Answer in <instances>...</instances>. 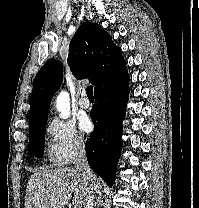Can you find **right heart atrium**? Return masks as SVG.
I'll return each instance as SVG.
<instances>
[{
	"mask_svg": "<svg viewBox=\"0 0 199 208\" xmlns=\"http://www.w3.org/2000/svg\"><path fill=\"white\" fill-rule=\"evenodd\" d=\"M48 152L58 165L69 164L85 149V139L71 120L53 118L47 126Z\"/></svg>",
	"mask_w": 199,
	"mask_h": 208,
	"instance_id": "1",
	"label": "right heart atrium"
}]
</instances>
